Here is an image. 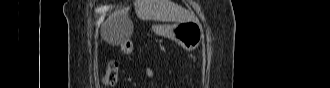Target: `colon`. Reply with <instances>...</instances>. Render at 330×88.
I'll return each mask as SVG.
<instances>
[{"mask_svg":"<svg viewBox=\"0 0 330 88\" xmlns=\"http://www.w3.org/2000/svg\"><path fill=\"white\" fill-rule=\"evenodd\" d=\"M121 45H123V48L126 50H132L133 49V42L130 40H127L123 42ZM118 80V68L115 64H110L107 66L102 82L107 87H113Z\"/></svg>","mask_w":330,"mask_h":88,"instance_id":"5ec220e1","label":"colon"}]
</instances>
